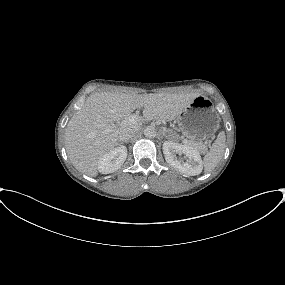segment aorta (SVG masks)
I'll return each mask as SVG.
<instances>
[{
	"label": "aorta",
	"instance_id": "obj_1",
	"mask_svg": "<svg viewBox=\"0 0 285 285\" xmlns=\"http://www.w3.org/2000/svg\"><path fill=\"white\" fill-rule=\"evenodd\" d=\"M144 135L147 138H154L156 136V129L153 126H147L144 129Z\"/></svg>",
	"mask_w": 285,
	"mask_h": 285
}]
</instances>
